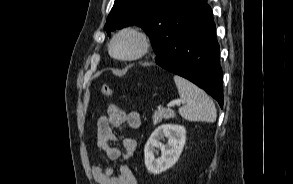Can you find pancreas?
Masks as SVG:
<instances>
[{
  "instance_id": "obj_1",
  "label": "pancreas",
  "mask_w": 293,
  "mask_h": 184,
  "mask_svg": "<svg viewBox=\"0 0 293 184\" xmlns=\"http://www.w3.org/2000/svg\"><path fill=\"white\" fill-rule=\"evenodd\" d=\"M175 117V112L170 109H158L153 113V123L157 124L162 121V119H170Z\"/></svg>"
}]
</instances>
